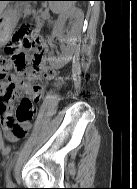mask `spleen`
Segmentation results:
<instances>
[{
  "instance_id": "spleen-1",
  "label": "spleen",
  "mask_w": 137,
  "mask_h": 189,
  "mask_svg": "<svg viewBox=\"0 0 137 189\" xmlns=\"http://www.w3.org/2000/svg\"><path fill=\"white\" fill-rule=\"evenodd\" d=\"M74 2L70 1H49V7L54 13H63L68 8L72 7Z\"/></svg>"
}]
</instances>
